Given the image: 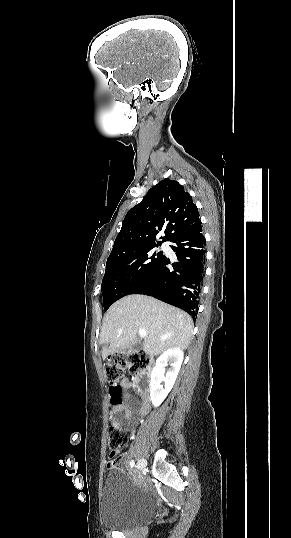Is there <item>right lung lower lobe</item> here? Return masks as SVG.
<instances>
[{"label":"right lung lower lobe","mask_w":291,"mask_h":538,"mask_svg":"<svg viewBox=\"0 0 291 538\" xmlns=\"http://www.w3.org/2000/svg\"><path fill=\"white\" fill-rule=\"evenodd\" d=\"M172 250L178 262L168 268L170 259L163 256L147 278L131 293L153 296L183 309L196 318L204 279L205 240L199 222L192 229L174 237Z\"/></svg>","instance_id":"right-lung-lower-lobe-1"}]
</instances>
